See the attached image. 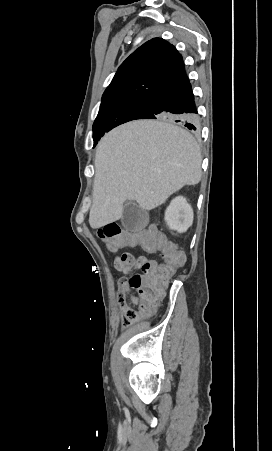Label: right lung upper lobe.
<instances>
[{
	"label": "right lung upper lobe",
	"mask_w": 272,
	"mask_h": 451,
	"mask_svg": "<svg viewBox=\"0 0 272 451\" xmlns=\"http://www.w3.org/2000/svg\"><path fill=\"white\" fill-rule=\"evenodd\" d=\"M183 69L182 56L173 45L160 38L151 39L120 65L102 96V103L151 97Z\"/></svg>",
	"instance_id": "cb5924a9"
}]
</instances>
